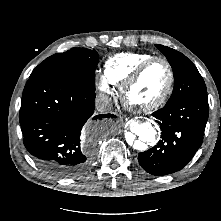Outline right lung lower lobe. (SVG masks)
Here are the masks:
<instances>
[{"label": "right lung lower lobe", "mask_w": 221, "mask_h": 221, "mask_svg": "<svg viewBox=\"0 0 221 221\" xmlns=\"http://www.w3.org/2000/svg\"><path fill=\"white\" fill-rule=\"evenodd\" d=\"M95 91L75 86L48 73L27 81L21 102L20 125L24 145L46 172L74 177L90 164L93 144L83 147L81 130L93 126L95 136L111 114H94Z\"/></svg>", "instance_id": "1"}]
</instances>
